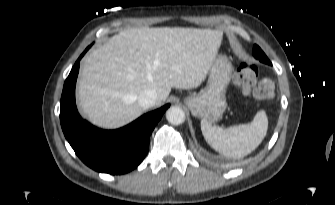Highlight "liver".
Wrapping results in <instances>:
<instances>
[{"label":"liver","instance_id":"obj_1","mask_svg":"<svg viewBox=\"0 0 335 205\" xmlns=\"http://www.w3.org/2000/svg\"><path fill=\"white\" fill-rule=\"evenodd\" d=\"M210 29L133 28L112 36L83 61L78 99L84 116L105 129L121 127L144 108L139 95L155 89L162 105L171 89H193L205 79L221 45Z\"/></svg>","mask_w":335,"mask_h":205}]
</instances>
